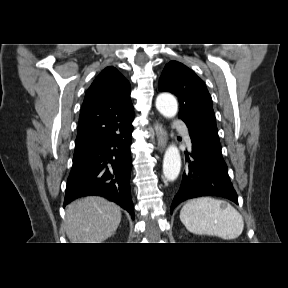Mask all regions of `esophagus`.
<instances>
[{
    "label": "esophagus",
    "instance_id": "obj_1",
    "mask_svg": "<svg viewBox=\"0 0 288 288\" xmlns=\"http://www.w3.org/2000/svg\"><path fill=\"white\" fill-rule=\"evenodd\" d=\"M154 129H155L156 136H157L159 150L162 152L167 144L166 131L163 128V126L158 122L154 124Z\"/></svg>",
    "mask_w": 288,
    "mask_h": 288
}]
</instances>
